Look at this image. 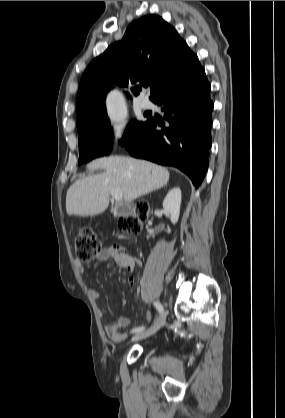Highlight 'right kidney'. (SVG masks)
<instances>
[{"label":"right kidney","instance_id":"1","mask_svg":"<svg viewBox=\"0 0 285 418\" xmlns=\"http://www.w3.org/2000/svg\"><path fill=\"white\" fill-rule=\"evenodd\" d=\"M181 205V190L179 187L171 189L163 201L164 210L170 215V220L176 224L179 219Z\"/></svg>","mask_w":285,"mask_h":418}]
</instances>
